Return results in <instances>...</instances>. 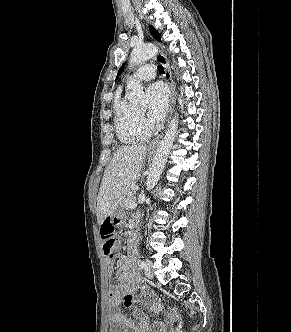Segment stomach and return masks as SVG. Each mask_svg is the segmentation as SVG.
<instances>
[{
  "instance_id": "obj_1",
  "label": "stomach",
  "mask_w": 291,
  "mask_h": 332,
  "mask_svg": "<svg viewBox=\"0 0 291 332\" xmlns=\"http://www.w3.org/2000/svg\"><path fill=\"white\" fill-rule=\"evenodd\" d=\"M124 219V213L121 210H117L111 217V221L116 225L120 226Z\"/></svg>"
}]
</instances>
